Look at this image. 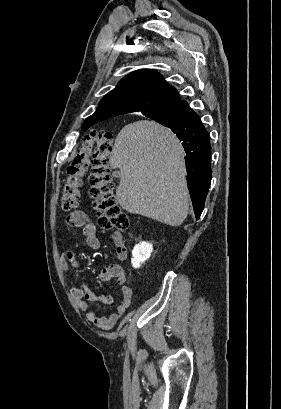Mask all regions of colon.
I'll use <instances>...</instances> for the list:
<instances>
[{
	"label": "colon",
	"mask_w": 281,
	"mask_h": 409,
	"mask_svg": "<svg viewBox=\"0 0 281 409\" xmlns=\"http://www.w3.org/2000/svg\"><path fill=\"white\" fill-rule=\"evenodd\" d=\"M113 149L114 138L107 131H95L85 139L66 167L61 208L71 213L78 207L82 178L90 164L93 207L99 222L104 228L124 230L130 225V220L122 212L113 194L114 182L110 169ZM119 255L125 257L127 252L121 251Z\"/></svg>",
	"instance_id": "5ec220e1"
}]
</instances>
